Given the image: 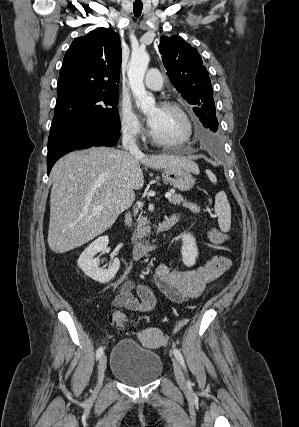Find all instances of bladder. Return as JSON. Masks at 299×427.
Listing matches in <instances>:
<instances>
[{
	"label": "bladder",
	"instance_id": "31cf9c89",
	"mask_svg": "<svg viewBox=\"0 0 299 427\" xmlns=\"http://www.w3.org/2000/svg\"><path fill=\"white\" fill-rule=\"evenodd\" d=\"M163 363L156 353L132 339L119 340L111 353L112 375L130 386L153 382L162 373Z\"/></svg>",
	"mask_w": 299,
	"mask_h": 427
}]
</instances>
